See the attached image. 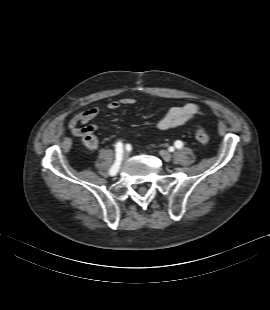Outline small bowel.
<instances>
[{"mask_svg": "<svg viewBox=\"0 0 270 310\" xmlns=\"http://www.w3.org/2000/svg\"><path fill=\"white\" fill-rule=\"evenodd\" d=\"M135 99L131 97L122 98L120 100L109 102L105 108L109 110H118L122 106L135 104ZM102 107L94 106L78 112L71 116L68 121V127L71 133L79 137L84 145L91 150L98 147L99 141L95 135L96 130L102 123H90L102 111ZM202 114V109L197 103H187L182 106H172L157 124L160 130H169L180 127L196 116Z\"/></svg>", "mask_w": 270, "mask_h": 310, "instance_id": "small-bowel-1", "label": "small bowel"}]
</instances>
